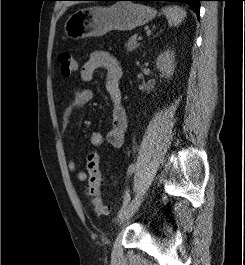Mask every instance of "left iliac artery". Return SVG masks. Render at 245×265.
I'll list each match as a JSON object with an SVG mask.
<instances>
[{
	"mask_svg": "<svg viewBox=\"0 0 245 265\" xmlns=\"http://www.w3.org/2000/svg\"><path fill=\"white\" fill-rule=\"evenodd\" d=\"M137 168V165L135 163H132L129 167H128V171H127V174L128 175H131ZM130 194H129V191H126L125 195H124V201H123V205H122V208L120 209L119 213H118V217H121L125 212L126 210L128 209L129 207V202H130Z\"/></svg>",
	"mask_w": 245,
	"mask_h": 265,
	"instance_id": "left-iliac-artery-1",
	"label": "left iliac artery"
}]
</instances>
